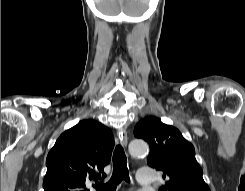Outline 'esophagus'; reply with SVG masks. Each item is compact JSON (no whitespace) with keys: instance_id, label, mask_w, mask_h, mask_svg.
I'll use <instances>...</instances> for the list:
<instances>
[{"instance_id":"esophagus-1","label":"esophagus","mask_w":245,"mask_h":191,"mask_svg":"<svg viewBox=\"0 0 245 191\" xmlns=\"http://www.w3.org/2000/svg\"><path fill=\"white\" fill-rule=\"evenodd\" d=\"M118 139L120 140L121 144L126 147L127 142H128V137H127V131L125 128H121L118 130Z\"/></svg>"}]
</instances>
